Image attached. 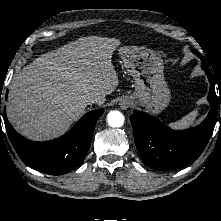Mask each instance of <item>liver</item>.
<instances>
[{
	"label": "liver",
	"instance_id": "6515ba94",
	"mask_svg": "<svg viewBox=\"0 0 221 221\" xmlns=\"http://www.w3.org/2000/svg\"><path fill=\"white\" fill-rule=\"evenodd\" d=\"M120 40L100 36L78 38L36 58L14 75L7 116L31 140L63 134L85 111V100L105 102L119 84L111 58Z\"/></svg>",
	"mask_w": 221,
	"mask_h": 221
}]
</instances>
